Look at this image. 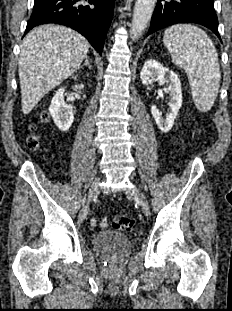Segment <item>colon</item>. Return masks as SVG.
<instances>
[{"instance_id":"obj_1","label":"colon","mask_w":232,"mask_h":311,"mask_svg":"<svg viewBox=\"0 0 232 311\" xmlns=\"http://www.w3.org/2000/svg\"><path fill=\"white\" fill-rule=\"evenodd\" d=\"M32 129H35L32 126ZM27 145L30 149L35 150L39 147V140L36 136L31 135L27 139ZM111 226L120 231H131L133 229V221L125 215H113L111 218Z\"/></svg>"}]
</instances>
